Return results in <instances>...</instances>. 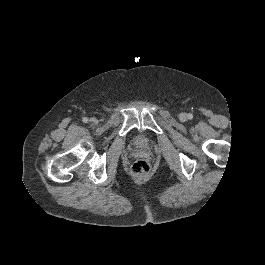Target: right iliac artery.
Masks as SVG:
<instances>
[{
  "label": "right iliac artery",
  "mask_w": 265,
  "mask_h": 265,
  "mask_svg": "<svg viewBox=\"0 0 265 265\" xmlns=\"http://www.w3.org/2000/svg\"><path fill=\"white\" fill-rule=\"evenodd\" d=\"M82 121H83L84 123H87L89 120H88L87 117H84V118L82 119Z\"/></svg>",
  "instance_id": "obj_1"
}]
</instances>
